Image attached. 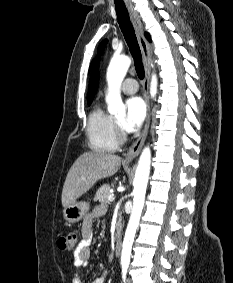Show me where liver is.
I'll list each match as a JSON object with an SVG mask.
<instances>
[{"instance_id":"1","label":"liver","mask_w":233,"mask_h":283,"mask_svg":"<svg viewBox=\"0 0 233 283\" xmlns=\"http://www.w3.org/2000/svg\"><path fill=\"white\" fill-rule=\"evenodd\" d=\"M118 155L104 152H84L71 166L62 190V205L69 206L94 184L114 175L120 166Z\"/></svg>"}]
</instances>
